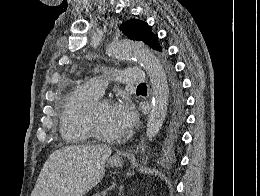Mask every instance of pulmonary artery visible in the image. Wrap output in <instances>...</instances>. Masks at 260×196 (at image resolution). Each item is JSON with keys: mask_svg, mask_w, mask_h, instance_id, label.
<instances>
[{"mask_svg": "<svg viewBox=\"0 0 260 196\" xmlns=\"http://www.w3.org/2000/svg\"><path fill=\"white\" fill-rule=\"evenodd\" d=\"M104 74H109V76H95V79L92 80L93 84H100L93 86L96 93L100 96L105 91V81H112L113 84L148 83L146 76H143L142 69H119L118 72H115V69H104Z\"/></svg>", "mask_w": 260, "mask_h": 196, "instance_id": "e3ab8cb5", "label": "pulmonary artery"}]
</instances>
